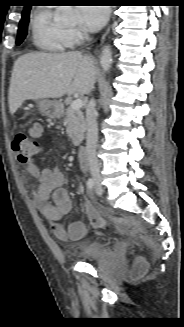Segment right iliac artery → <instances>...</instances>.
<instances>
[{
    "label": "right iliac artery",
    "mask_w": 184,
    "mask_h": 327,
    "mask_svg": "<svg viewBox=\"0 0 184 327\" xmlns=\"http://www.w3.org/2000/svg\"><path fill=\"white\" fill-rule=\"evenodd\" d=\"M87 188L89 191H92V189L94 188L95 182L92 178L88 179L87 183Z\"/></svg>",
    "instance_id": "1"
}]
</instances>
